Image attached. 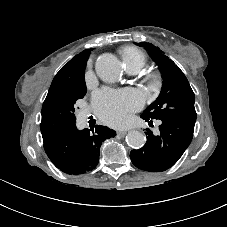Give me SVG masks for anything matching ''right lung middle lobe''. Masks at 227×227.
<instances>
[{
	"label": "right lung middle lobe",
	"instance_id": "dd1d6c3e",
	"mask_svg": "<svg viewBox=\"0 0 227 227\" xmlns=\"http://www.w3.org/2000/svg\"><path fill=\"white\" fill-rule=\"evenodd\" d=\"M86 91L84 80L78 83L61 81L51 84L42 107V137L75 125V103L85 96Z\"/></svg>",
	"mask_w": 227,
	"mask_h": 227
}]
</instances>
